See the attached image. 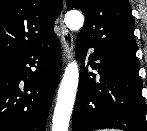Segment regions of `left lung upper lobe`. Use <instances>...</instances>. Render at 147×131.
<instances>
[{
    "instance_id": "obj_1",
    "label": "left lung upper lobe",
    "mask_w": 147,
    "mask_h": 131,
    "mask_svg": "<svg viewBox=\"0 0 147 131\" xmlns=\"http://www.w3.org/2000/svg\"><path fill=\"white\" fill-rule=\"evenodd\" d=\"M67 7L85 14V24L77 39L139 69L134 19L128 0H67Z\"/></svg>"
}]
</instances>
